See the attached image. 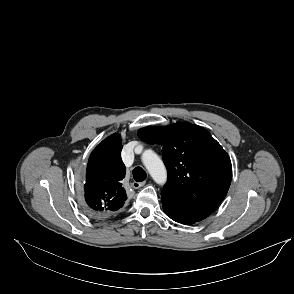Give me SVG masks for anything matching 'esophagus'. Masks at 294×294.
Returning <instances> with one entry per match:
<instances>
[{"instance_id": "34e87169", "label": "esophagus", "mask_w": 294, "mask_h": 294, "mask_svg": "<svg viewBox=\"0 0 294 294\" xmlns=\"http://www.w3.org/2000/svg\"><path fill=\"white\" fill-rule=\"evenodd\" d=\"M145 183H146L145 181H143V182H136V181H134L131 185H132V187H133L134 189H138V188L144 186Z\"/></svg>"}]
</instances>
